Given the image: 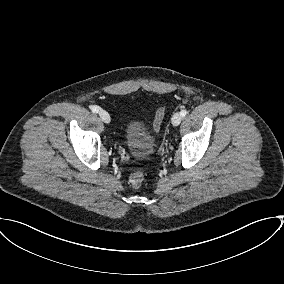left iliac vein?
<instances>
[{"instance_id": "1", "label": "left iliac vein", "mask_w": 284, "mask_h": 284, "mask_svg": "<svg viewBox=\"0 0 284 284\" xmlns=\"http://www.w3.org/2000/svg\"><path fill=\"white\" fill-rule=\"evenodd\" d=\"M181 121H182V115L179 112L175 113L172 117L173 126H178L181 123Z\"/></svg>"}]
</instances>
